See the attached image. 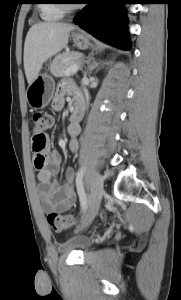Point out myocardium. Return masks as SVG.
I'll list each match as a JSON object with an SVG mask.
<instances>
[{
	"label": "myocardium",
	"mask_w": 181,
	"mask_h": 300,
	"mask_svg": "<svg viewBox=\"0 0 181 300\" xmlns=\"http://www.w3.org/2000/svg\"><path fill=\"white\" fill-rule=\"evenodd\" d=\"M59 6H60V8H61L64 12L73 9V6L67 5V4H60Z\"/></svg>",
	"instance_id": "myocardium-1"
}]
</instances>
